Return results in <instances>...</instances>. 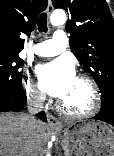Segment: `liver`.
Returning <instances> with one entry per match:
<instances>
[{"label": "liver", "mask_w": 114, "mask_h": 156, "mask_svg": "<svg viewBox=\"0 0 114 156\" xmlns=\"http://www.w3.org/2000/svg\"><path fill=\"white\" fill-rule=\"evenodd\" d=\"M45 130L44 122L32 121L26 114L0 113V156L35 153Z\"/></svg>", "instance_id": "obj_1"}]
</instances>
